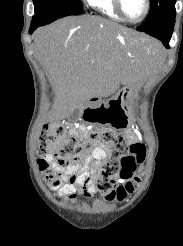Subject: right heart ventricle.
Segmentation results:
<instances>
[{
    "instance_id": "right-heart-ventricle-1",
    "label": "right heart ventricle",
    "mask_w": 183,
    "mask_h": 246,
    "mask_svg": "<svg viewBox=\"0 0 183 246\" xmlns=\"http://www.w3.org/2000/svg\"><path fill=\"white\" fill-rule=\"evenodd\" d=\"M87 2L97 12L109 18L123 21V18L115 8L114 0H87Z\"/></svg>"
}]
</instances>
